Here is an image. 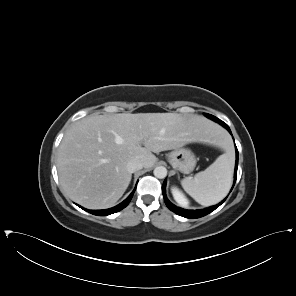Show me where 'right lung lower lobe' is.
<instances>
[{"label": "right lung lower lobe", "mask_w": 296, "mask_h": 296, "mask_svg": "<svg viewBox=\"0 0 296 296\" xmlns=\"http://www.w3.org/2000/svg\"><path fill=\"white\" fill-rule=\"evenodd\" d=\"M134 192H135V189L133 190V192L129 195V197L126 200H124L119 205H117V206H115L113 208H110V209H106V210H88V209L82 208L81 206H79V207H81L85 211H87V212H89L91 214H94V215H98V216L110 215V214L116 213V212L122 210L123 208H125L129 204L130 200L132 199V196H133Z\"/></svg>", "instance_id": "right-lung-lower-lobe-1"}]
</instances>
